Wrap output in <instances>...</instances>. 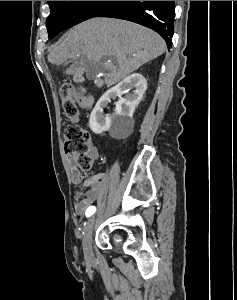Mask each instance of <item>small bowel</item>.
Here are the masks:
<instances>
[{
    "label": "small bowel",
    "mask_w": 237,
    "mask_h": 300,
    "mask_svg": "<svg viewBox=\"0 0 237 300\" xmlns=\"http://www.w3.org/2000/svg\"><path fill=\"white\" fill-rule=\"evenodd\" d=\"M77 100L84 108H89L92 105L91 99L79 96L77 97ZM71 121L77 122L78 117ZM89 154L93 160H96L99 157L96 147H91ZM68 166L71 180L79 188V192L77 193L74 202V210L76 214L83 215L86 213V210L94 204L105 188H111L115 185V180L110 178L108 171H102L90 178H84L73 159H68ZM84 189L86 191L83 193L82 190Z\"/></svg>",
    "instance_id": "small-bowel-1"
}]
</instances>
